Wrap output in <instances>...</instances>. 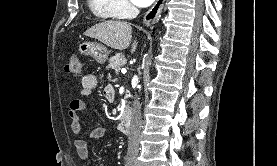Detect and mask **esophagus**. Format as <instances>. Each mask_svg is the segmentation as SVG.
Returning <instances> with one entry per match:
<instances>
[{"instance_id":"obj_1","label":"esophagus","mask_w":277,"mask_h":166,"mask_svg":"<svg viewBox=\"0 0 277 166\" xmlns=\"http://www.w3.org/2000/svg\"><path fill=\"white\" fill-rule=\"evenodd\" d=\"M164 2L165 0H156L154 5L147 11L143 20L145 26L149 27L159 20Z\"/></svg>"}]
</instances>
